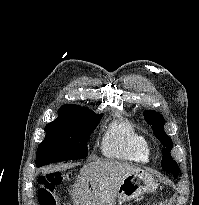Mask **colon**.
Returning <instances> with one entry per match:
<instances>
[{
    "mask_svg": "<svg viewBox=\"0 0 199 205\" xmlns=\"http://www.w3.org/2000/svg\"><path fill=\"white\" fill-rule=\"evenodd\" d=\"M69 175L60 173L46 174L40 182L39 199L41 205H58L56 188L61 185Z\"/></svg>",
    "mask_w": 199,
    "mask_h": 205,
    "instance_id": "1",
    "label": "colon"
}]
</instances>
